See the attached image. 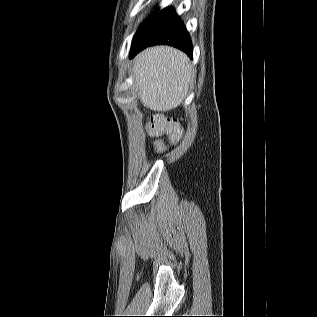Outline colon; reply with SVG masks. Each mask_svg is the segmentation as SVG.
Masks as SVG:
<instances>
[{
    "label": "colon",
    "instance_id": "1",
    "mask_svg": "<svg viewBox=\"0 0 317 317\" xmlns=\"http://www.w3.org/2000/svg\"><path fill=\"white\" fill-rule=\"evenodd\" d=\"M148 131L151 135L159 137L162 135H167L172 144H176L181 137V128L174 118H169L160 114H155L148 119ZM156 148L158 151H163L165 145L162 141L156 143Z\"/></svg>",
    "mask_w": 317,
    "mask_h": 317
}]
</instances>
